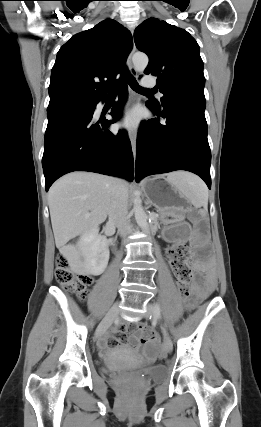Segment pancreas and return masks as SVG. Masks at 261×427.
Here are the masks:
<instances>
[{
    "instance_id": "pancreas-1",
    "label": "pancreas",
    "mask_w": 261,
    "mask_h": 427,
    "mask_svg": "<svg viewBox=\"0 0 261 427\" xmlns=\"http://www.w3.org/2000/svg\"><path fill=\"white\" fill-rule=\"evenodd\" d=\"M152 217H153L154 221L157 222L158 214H153Z\"/></svg>"
}]
</instances>
